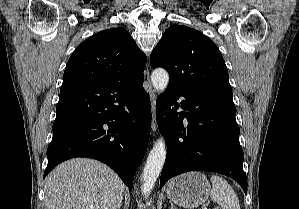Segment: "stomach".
Listing matches in <instances>:
<instances>
[{
    "label": "stomach",
    "mask_w": 299,
    "mask_h": 209,
    "mask_svg": "<svg viewBox=\"0 0 299 209\" xmlns=\"http://www.w3.org/2000/svg\"><path fill=\"white\" fill-rule=\"evenodd\" d=\"M211 187L206 176L200 172H188L172 179L167 196L175 204L194 209L209 197Z\"/></svg>",
    "instance_id": "stomach-1"
}]
</instances>
